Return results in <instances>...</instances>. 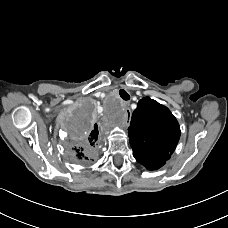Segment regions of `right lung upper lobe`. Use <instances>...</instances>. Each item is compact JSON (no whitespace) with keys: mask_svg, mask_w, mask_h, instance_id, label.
<instances>
[{"mask_svg":"<svg viewBox=\"0 0 228 228\" xmlns=\"http://www.w3.org/2000/svg\"><path fill=\"white\" fill-rule=\"evenodd\" d=\"M97 135H98V131L97 130L93 131L91 133V138H89L86 142L80 143L74 147V150L80 159L84 158L85 160H88V157H86L87 151L90 148V145L93 146L97 141Z\"/></svg>","mask_w":228,"mask_h":228,"instance_id":"obj_1","label":"right lung upper lobe"}]
</instances>
